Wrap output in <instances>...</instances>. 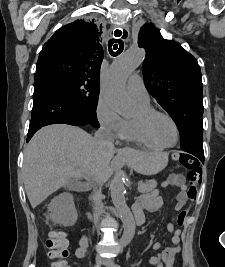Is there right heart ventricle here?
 Here are the masks:
<instances>
[{"instance_id": "1", "label": "right heart ventricle", "mask_w": 225, "mask_h": 267, "mask_svg": "<svg viewBox=\"0 0 225 267\" xmlns=\"http://www.w3.org/2000/svg\"><path fill=\"white\" fill-rule=\"evenodd\" d=\"M135 104L137 113L132 117L124 119V128L121 136L142 147L161 150L160 147L150 140L142 124V115L153 109L150 101H135Z\"/></svg>"}]
</instances>
